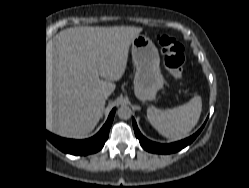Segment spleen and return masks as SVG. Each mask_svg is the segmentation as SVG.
Here are the masks:
<instances>
[{
	"label": "spleen",
	"instance_id": "3e777b00",
	"mask_svg": "<svg viewBox=\"0 0 249 188\" xmlns=\"http://www.w3.org/2000/svg\"><path fill=\"white\" fill-rule=\"evenodd\" d=\"M201 111V97L195 96L188 103L165 111L148 107L147 118L160 134L179 140L187 137L197 125Z\"/></svg>",
	"mask_w": 249,
	"mask_h": 188
}]
</instances>
